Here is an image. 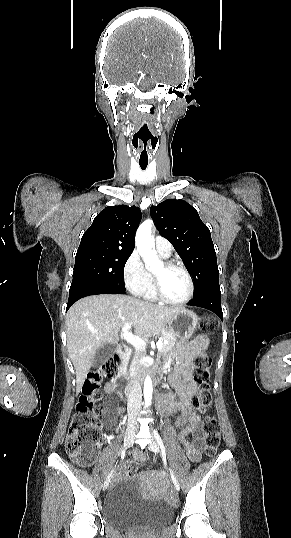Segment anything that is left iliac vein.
Masks as SVG:
<instances>
[{
    "label": "left iliac vein",
    "instance_id": "obj_1",
    "mask_svg": "<svg viewBox=\"0 0 291 538\" xmlns=\"http://www.w3.org/2000/svg\"><path fill=\"white\" fill-rule=\"evenodd\" d=\"M148 449L155 452V453L160 452L159 444L154 439H152L151 443L148 445ZM170 473H171L172 481H173V484H174L175 488L177 490H179L180 484H179L177 476L174 474V472L171 469H170Z\"/></svg>",
    "mask_w": 291,
    "mask_h": 538
}]
</instances>
